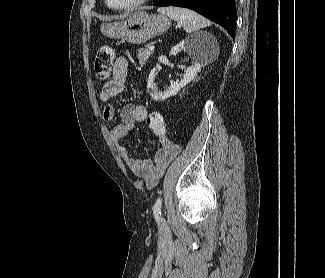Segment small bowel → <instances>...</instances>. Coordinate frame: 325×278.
Segmentation results:
<instances>
[{
    "mask_svg": "<svg viewBox=\"0 0 325 278\" xmlns=\"http://www.w3.org/2000/svg\"><path fill=\"white\" fill-rule=\"evenodd\" d=\"M128 75V61L124 57L116 59L113 66L112 79L104 84L100 92V100L103 103V120L110 122L115 116L113 98L126 89ZM148 111L143 105L129 103L120 113L121 123L110 131L111 138L117 143L118 151L126 160L135 176L145 181L149 188L155 186L169 164L178 156L180 146L170 141L165 135L161 138V146L152 158L130 157L127 148L120 141L138 122L147 119Z\"/></svg>",
    "mask_w": 325,
    "mask_h": 278,
    "instance_id": "small-bowel-1",
    "label": "small bowel"
}]
</instances>
